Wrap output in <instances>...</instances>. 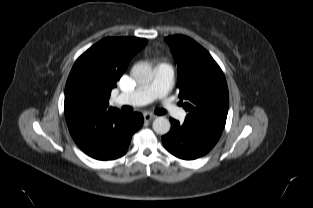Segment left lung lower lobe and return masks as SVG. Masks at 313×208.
Returning a JSON list of instances; mask_svg holds the SVG:
<instances>
[{
    "mask_svg": "<svg viewBox=\"0 0 313 208\" xmlns=\"http://www.w3.org/2000/svg\"><path fill=\"white\" fill-rule=\"evenodd\" d=\"M171 129L162 137L166 149L174 156L193 160L207 154L218 142L222 131L198 127L188 121L180 124L170 118Z\"/></svg>",
    "mask_w": 313,
    "mask_h": 208,
    "instance_id": "0a47b994",
    "label": "left lung lower lobe"
}]
</instances>
